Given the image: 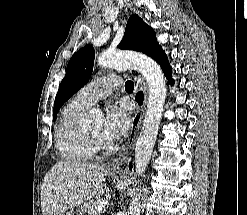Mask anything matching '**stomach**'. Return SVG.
Returning a JSON list of instances; mask_svg holds the SVG:
<instances>
[{
    "label": "stomach",
    "instance_id": "0dacf381",
    "mask_svg": "<svg viewBox=\"0 0 247 215\" xmlns=\"http://www.w3.org/2000/svg\"><path fill=\"white\" fill-rule=\"evenodd\" d=\"M126 185H127V182L120 183L118 184V188L124 189Z\"/></svg>",
    "mask_w": 247,
    "mask_h": 215
}]
</instances>
